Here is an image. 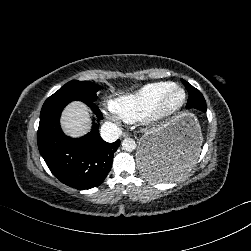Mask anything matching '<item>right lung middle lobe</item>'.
Listing matches in <instances>:
<instances>
[{"mask_svg":"<svg viewBox=\"0 0 251 251\" xmlns=\"http://www.w3.org/2000/svg\"><path fill=\"white\" fill-rule=\"evenodd\" d=\"M100 86L90 81H70L51 95L47 100L71 99L84 102H94L97 100L96 92Z\"/></svg>","mask_w":251,"mask_h":251,"instance_id":"right-lung-middle-lobe-1","label":"right lung middle lobe"}]
</instances>
